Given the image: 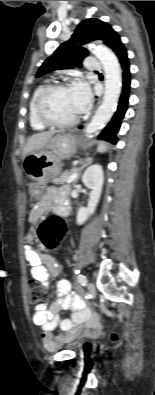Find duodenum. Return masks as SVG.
<instances>
[{
  "label": "duodenum",
  "mask_w": 155,
  "mask_h": 395,
  "mask_svg": "<svg viewBox=\"0 0 155 395\" xmlns=\"http://www.w3.org/2000/svg\"><path fill=\"white\" fill-rule=\"evenodd\" d=\"M68 213V210L64 209L62 210V215H66Z\"/></svg>",
  "instance_id": "duodenum-1"
}]
</instances>
